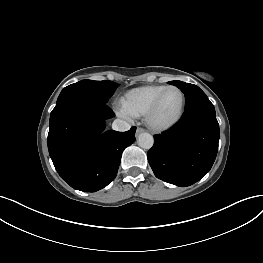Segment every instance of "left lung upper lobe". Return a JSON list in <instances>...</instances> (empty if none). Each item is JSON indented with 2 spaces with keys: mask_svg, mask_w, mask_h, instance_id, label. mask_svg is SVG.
<instances>
[{
  "mask_svg": "<svg viewBox=\"0 0 263 263\" xmlns=\"http://www.w3.org/2000/svg\"><path fill=\"white\" fill-rule=\"evenodd\" d=\"M168 83L177 86L185 94V109L199 102L209 100L205 93L196 85L182 81H170Z\"/></svg>",
  "mask_w": 263,
  "mask_h": 263,
  "instance_id": "5c2ea615",
  "label": "left lung upper lobe"
}]
</instances>
